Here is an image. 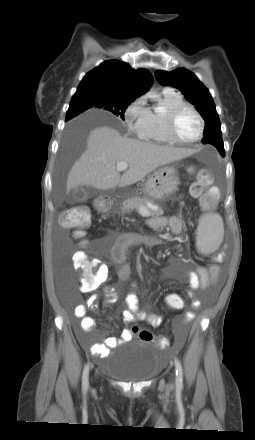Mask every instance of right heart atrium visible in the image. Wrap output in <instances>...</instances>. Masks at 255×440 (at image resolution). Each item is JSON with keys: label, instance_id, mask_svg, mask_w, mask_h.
I'll return each instance as SVG.
<instances>
[{"label": "right heart atrium", "instance_id": "obj_1", "mask_svg": "<svg viewBox=\"0 0 255 440\" xmlns=\"http://www.w3.org/2000/svg\"><path fill=\"white\" fill-rule=\"evenodd\" d=\"M148 118L149 109L142 96L132 101L124 112V119L129 130L140 137L147 128Z\"/></svg>", "mask_w": 255, "mask_h": 440}]
</instances>
